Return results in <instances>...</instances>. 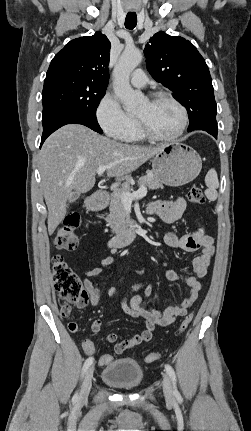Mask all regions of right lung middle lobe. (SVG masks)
Returning <instances> with one entry per match:
<instances>
[{"label":"right lung middle lobe","instance_id":"1","mask_svg":"<svg viewBox=\"0 0 251 431\" xmlns=\"http://www.w3.org/2000/svg\"><path fill=\"white\" fill-rule=\"evenodd\" d=\"M107 85L64 72L47 73L42 92L43 118L59 112H75L96 119V109Z\"/></svg>","mask_w":251,"mask_h":431}]
</instances>
